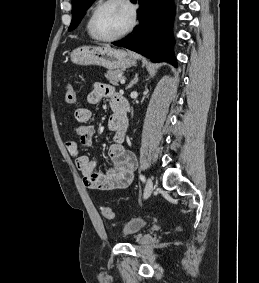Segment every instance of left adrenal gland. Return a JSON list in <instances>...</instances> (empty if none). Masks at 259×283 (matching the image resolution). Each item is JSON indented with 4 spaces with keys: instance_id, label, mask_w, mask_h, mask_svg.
Returning a JSON list of instances; mask_svg holds the SVG:
<instances>
[{
    "instance_id": "left-adrenal-gland-1",
    "label": "left adrenal gland",
    "mask_w": 259,
    "mask_h": 283,
    "mask_svg": "<svg viewBox=\"0 0 259 283\" xmlns=\"http://www.w3.org/2000/svg\"><path fill=\"white\" fill-rule=\"evenodd\" d=\"M138 73L135 74L133 80L129 83V85L126 87V89H130L133 87L134 84L138 82Z\"/></svg>"
}]
</instances>
